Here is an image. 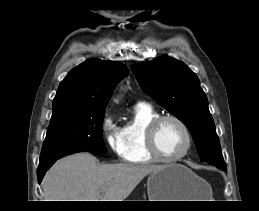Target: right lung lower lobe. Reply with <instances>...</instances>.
Returning a JSON list of instances; mask_svg holds the SVG:
<instances>
[{
  "label": "right lung lower lobe",
  "instance_id": "obj_1",
  "mask_svg": "<svg viewBox=\"0 0 259 211\" xmlns=\"http://www.w3.org/2000/svg\"><path fill=\"white\" fill-rule=\"evenodd\" d=\"M75 152H64V153H60L57 155H54L53 157L45 160V161H41L39 163V167L37 170V177H38V182L41 183L42 178L44 177L46 171L61 157H64L68 154H73Z\"/></svg>",
  "mask_w": 259,
  "mask_h": 211
}]
</instances>
